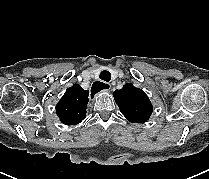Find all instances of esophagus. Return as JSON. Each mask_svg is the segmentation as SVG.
I'll use <instances>...</instances> for the list:
<instances>
[{
  "label": "esophagus",
  "mask_w": 209,
  "mask_h": 179,
  "mask_svg": "<svg viewBox=\"0 0 209 179\" xmlns=\"http://www.w3.org/2000/svg\"><path fill=\"white\" fill-rule=\"evenodd\" d=\"M111 88V85L107 82H94L93 85H92V88H91V93L92 94H96L98 93L99 91H101L102 89L105 90V91H108L110 90Z\"/></svg>",
  "instance_id": "34e87169"
}]
</instances>
